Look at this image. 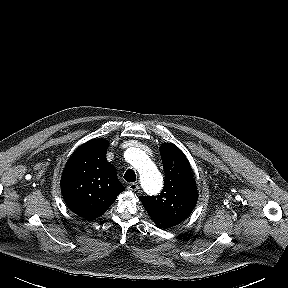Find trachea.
Masks as SVG:
<instances>
[{
  "instance_id": "1",
  "label": "trachea",
  "mask_w": 288,
  "mask_h": 288,
  "mask_svg": "<svg viewBox=\"0 0 288 288\" xmlns=\"http://www.w3.org/2000/svg\"><path fill=\"white\" fill-rule=\"evenodd\" d=\"M124 179L127 182H135L136 181V174H135L134 170L128 169L126 171V173L124 174Z\"/></svg>"
}]
</instances>
